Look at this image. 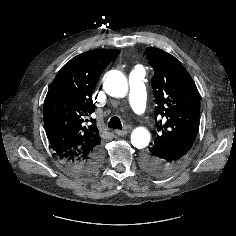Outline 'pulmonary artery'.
<instances>
[{
  "instance_id": "pulmonary-artery-1",
  "label": "pulmonary artery",
  "mask_w": 236,
  "mask_h": 236,
  "mask_svg": "<svg viewBox=\"0 0 236 236\" xmlns=\"http://www.w3.org/2000/svg\"><path fill=\"white\" fill-rule=\"evenodd\" d=\"M146 71L142 66L134 67L129 75V103L132 111L138 117H142L146 112V92H145Z\"/></svg>"
}]
</instances>
